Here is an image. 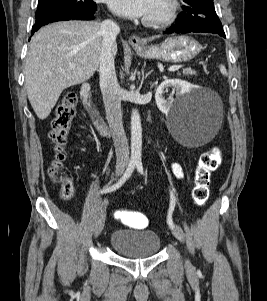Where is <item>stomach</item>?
<instances>
[{"instance_id":"stomach-1","label":"stomach","mask_w":267,"mask_h":301,"mask_svg":"<svg viewBox=\"0 0 267 301\" xmlns=\"http://www.w3.org/2000/svg\"><path fill=\"white\" fill-rule=\"evenodd\" d=\"M134 50L145 58L162 59L164 61L179 63L196 57L202 46L188 36H174L165 39L159 45L133 46Z\"/></svg>"}]
</instances>
